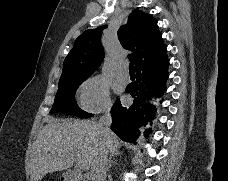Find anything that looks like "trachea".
<instances>
[{"label":"trachea","mask_w":228,"mask_h":181,"mask_svg":"<svg viewBox=\"0 0 228 181\" xmlns=\"http://www.w3.org/2000/svg\"><path fill=\"white\" fill-rule=\"evenodd\" d=\"M129 71L130 72H134L135 70H134V63H133V61H131L130 63H129Z\"/></svg>","instance_id":"3493384b"}]
</instances>
